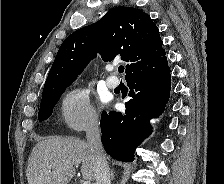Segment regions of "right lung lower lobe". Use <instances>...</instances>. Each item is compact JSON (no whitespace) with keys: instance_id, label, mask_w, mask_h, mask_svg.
I'll list each match as a JSON object with an SVG mask.
<instances>
[{"instance_id":"obj_1","label":"right lung lower lobe","mask_w":224,"mask_h":184,"mask_svg":"<svg viewBox=\"0 0 224 184\" xmlns=\"http://www.w3.org/2000/svg\"><path fill=\"white\" fill-rule=\"evenodd\" d=\"M130 88L125 113L101 115L102 144L114 159L131 162L135 149L152 133L150 119L164 111L170 96L171 74L167 61L126 79Z\"/></svg>"}]
</instances>
